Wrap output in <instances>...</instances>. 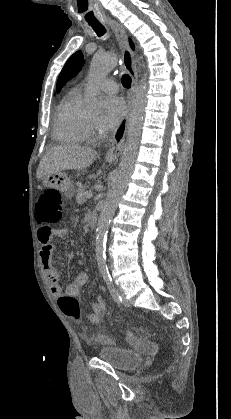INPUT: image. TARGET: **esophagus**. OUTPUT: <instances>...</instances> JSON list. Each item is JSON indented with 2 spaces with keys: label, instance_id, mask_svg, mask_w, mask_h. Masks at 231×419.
<instances>
[{
  "label": "esophagus",
  "instance_id": "esophagus-1",
  "mask_svg": "<svg viewBox=\"0 0 231 419\" xmlns=\"http://www.w3.org/2000/svg\"><path fill=\"white\" fill-rule=\"evenodd\" d=\"M106 22L112 28L116 35L117 41L122 51L124 67L131 77V89L128 93L127 113L115 129L112 137L110 138L109 148L105 155V158L107 160L112 161L116 160L123 151L124 140L128 126V119L131 110V103L138 83V72L135 63V56L130 48L125 29L120 23L111 18H107Z\"/></svg>",
  "mask_w": 231,
  "mask_h": 419
}]
</instances>
